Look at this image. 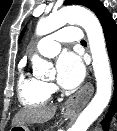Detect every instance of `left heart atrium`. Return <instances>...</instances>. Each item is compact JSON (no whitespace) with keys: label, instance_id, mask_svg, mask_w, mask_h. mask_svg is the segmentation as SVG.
<instances>
[{"label":"left heart atrium","instance_id":"left-heart-atrium-1","mask_svg":"<svg viewBox=\"0 0 117 131\" xmlns=\"http://www.w3.org/2000/svg\"><path fill=\"white\" fill-rule=\"evenodd\" d=\"M57 81L67 89L78 86L84 78L85 68L81 58L72 53H63L57 61Z\"/></svg>","mask_w":117,"mask_h":131}]
</instances>
